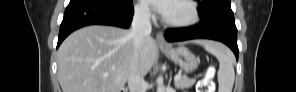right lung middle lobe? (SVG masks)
Masks as SVG:
<instances>
[{
	"instance_id": "1",
	"label": "right lung middle lobe",
	"mask_w": 296,
	"mask_h": 92,
	"mask_svg": "<svg viewBox=\"0 0 296 92\" xmlns=\"http://www.w3.org/2000/svg\"><path fill=\"white\" fill-rule=\"evenodd\" d=\"M114 1L120 2V1H122V0H114Z\"/></svg>"
}]
</instances>
